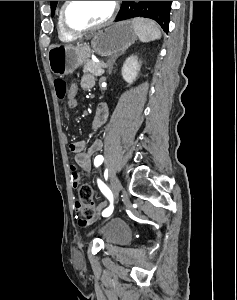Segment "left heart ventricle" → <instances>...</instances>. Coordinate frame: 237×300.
<instances>
[{
  "label": "left heart ventricle",
  "instance_id": "1",
  "mask_svg": "<svg viewBox=\"0 0 237 300\" xmlns=\"http://www.w3.org/2000/svg\"><path fill=\"white\" fill-rule=\"evenodd\" d=\"M112 10V1H72L67 22L74 29H82L103 22Z\"/></svg>",
  "mask_w": 237,
  "mask_h": 300
}]
</instances>
